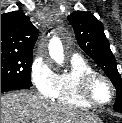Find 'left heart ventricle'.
Here are the masks:
<instances>
[{
    "instance_id": "left-heart-ventricle-1",
    "label": "left heart ventricle",
    "mask_w": 122,
    "mask_h": 123,
    "mask_svg": "<svg viewBox=\"0 0 122 123\" xmlns=\"http://www.w3.org/2000/svg\"><path fill=\"white\" fill-rule=\"evenodd\" d=\"M92 94L98 101H107L111 96V90L108 84L103 80H97L92 88Z\"/></svg>"
}]
</instances>
